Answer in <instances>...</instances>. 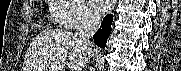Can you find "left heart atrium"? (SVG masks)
Returning a JSON list of instances; mask_svg holds the SVG:
<instances>
[{"label": "left heart atrium", "mask_w": 181, "mask_h": 71, "mask_svg": "<svg viewBox=\"0 0 181 71\" xmlns=\"http://www.w3.org/2000/svg\"><path fill=\"white\" fill-rule=\"evenodd\" d=\"M92 6L97 12L104 13L110 8L111 1L110 0H92Z\"/></svg>", "instance_id": "39dd6f15"}]
</instances>
